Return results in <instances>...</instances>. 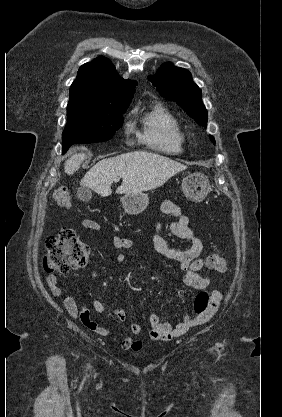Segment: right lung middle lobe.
I'll list each match as a JSON object with an SVG mask.
<instances>
[{
    "mask_svg": "<svg viewBox=\"0 0 282 417\" xmlns=\"http://www.w3.org/2000/svg\"><path fill=\"white\" fill-rule=\"evenodd\" d=\"M133 95L70 96L67 125L62 133V149L72 144L109 140L123 124L122 113Z\"/></svg>",
    "mask_w": 282,
    "mask_h": 417,
    "instance_id": "right-lung-middle-lobe-1",
    "label": "right lung middle lobe"
}]
</instances>
